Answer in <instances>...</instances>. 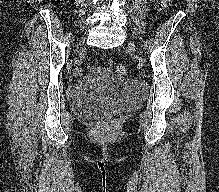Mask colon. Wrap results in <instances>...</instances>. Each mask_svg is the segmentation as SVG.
I'll return each instance as SVG.
<instances>
[{
	"label": "colon",
	"instance_id": "obj_1",
	"mask_svg": "<svg viewBox=\"0 0 219 192\" xmlns=\"http://www.w3.org/2000/svg\"><path fill=\"white\" fill-rule=\"evenodd\" d=\"M37 1H41V0H37ZM173 0H162L160 3V7L162 9L167 8V6L172 2ZM111 63V61H109ZM115 72L120 75L123 76L126 73V66L123 63H118L115 67Z\"/></svg>",
	"mask_w": 219,
	"mask_h": 192
}]
</instances>
